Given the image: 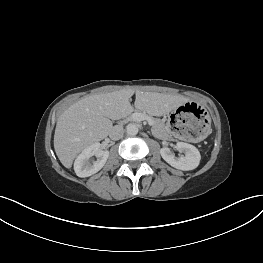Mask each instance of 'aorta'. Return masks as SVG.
Returning <instances> with one entry per match:
<instances>
[{
    "label": "aorta",
    "mask_w": 263,
    "mask_h": 263,
    "mask_svg": "<svg viewBox=\"0 0 263 263\" xmlns=\"http://www.w3.org/2000/svg\"><path fill=\"white\" fill-rule=\"evenodd\" d=\"M138 131H139V128H138V126L136 125V124H128L127 126H126V132H127V134L128 135H130V136H135V135H137L138 134Z\"/></svg>",
    "instance_id": "1"
}]
</instances>
